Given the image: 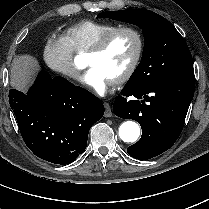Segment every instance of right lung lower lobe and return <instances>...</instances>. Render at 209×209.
<instances>
[{
    "mask_svg": "<svg viewBox=\"0 0 209 209\" xmlns=\"http://www.w3.org/2000/svg\"><path fill=\"white\" fill-rule=\"evenodd\" d=\"M9 103L27 147L39 158L69 164L87 146L104 105L82 87L41 71L27 94L11 89Z\"/></svg>",
    "mask_w": 209,
    "mask_h": 209,
    "instance_id": "obj_1",
    "label": "right lung lower lobe"
}]
</instances>
